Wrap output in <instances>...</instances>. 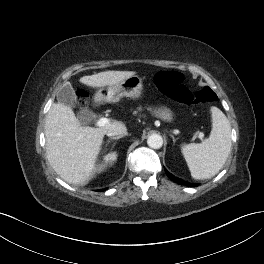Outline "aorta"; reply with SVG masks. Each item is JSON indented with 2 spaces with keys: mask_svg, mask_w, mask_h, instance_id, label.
<instances>
[{
  "mask_svg": "<svg viewBox=\"0 0 264 264\" xmlns=\"http://www.w3.org/2000/svg\"><path fill=\"white\" fill-rule=\"evenodd\" d=\"M147 144L150 148L159 149L163 145V138L159 134H151L147 139Z\"/></svg>",
  "mask_w": 264,
  "mask_h": 264,
  "instance_id": "obj_1",
  "label": "aorta"
}]
</instances>
